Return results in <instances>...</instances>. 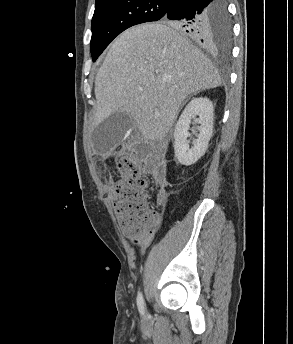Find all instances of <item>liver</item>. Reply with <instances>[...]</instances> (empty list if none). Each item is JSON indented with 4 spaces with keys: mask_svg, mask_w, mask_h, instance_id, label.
<instances>
[{
    "mask_svg": "<svg viewBox=\"0 0 293 344\" xmlns=\"http://www.w3.org/2000/svg\"><path fill=\"white\" fill-rule=\"evenodd\" d=\"M177 29L142 24L114 40L95 80V126L125 112L144 139L163 140L189 95L221 85L212 62Z\"/></svg>",
    "mask_w": 293,
    "mask_h": 344,
    "instance_id": "obj_1",
    "label": "liver"
}]
</instances>
